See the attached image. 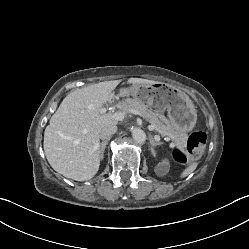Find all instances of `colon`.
<instances>
[{"label":"colon","mask_w":249,"mask_h":249,"mask_svg":"<svg viewBox=\"0 0 249 249\" xmlns=\"http://www.w3.org/2000/svg\"><path fill=\"white\" fill-rule=\"evenodd\" d=\"M206 142L207 137L204 132H195L188 140L187 153L176 149L173 153V157L181 164H188L190 162V156L197 157L203 153Z\"/></svg>","instance_id":"colon-1"}]
</instances>
